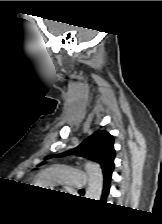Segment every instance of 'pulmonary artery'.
<instances>
[{"instance_id":"e3ab8cb5","label":"pulmonary artery","mask_w":162,"mask_h":224,"mask_svg":"<svg viewBox=\"0 0 162 224\" xmlns=\"http://www.w3.org/2000/svg\"><path fill=\"white\" fill-rule=\"evenodd\" d=\"M39 181L43 184H61L80 189L87 184V174L73 168H62L42 173Z\"/></svg>"}]
</instances>
